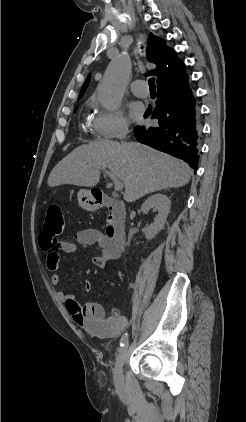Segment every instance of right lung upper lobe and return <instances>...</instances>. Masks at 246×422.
<instances>
[{
    "label": "right lung upper lobe",
    "mask_w": 246,
    "mask_h": 422,
    "mask_svg": "<svg viewBox=\"0 0 246 422\" xmlns=\"http://www.w3.org/2000/svg\"><path fill=\"white\" fill-rule=\"evenodd\" d=\"M147 59L157 66L155 70L150 71V74L157 76V87L176 81L187 74L185 64L176 56V52L169 48L164 40L152 33L149 34L147 41ZM89 80L90 75L85 80L78 99L86 91Z\"/></svg>",
    "instance_id": "right-lung-upper-lobe-1"
}]
</instances>
